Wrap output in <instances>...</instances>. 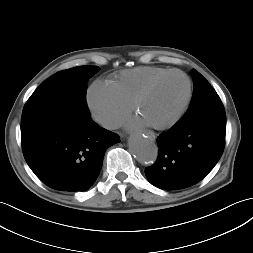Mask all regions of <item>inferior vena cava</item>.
<instances>
[{
	"instance_id": "obj_1",
	"label": "inferior vena cava",
	"mask_w": 253,
	"mask_h": 253,
	"mask_svg": "<svg viewBox=\"0 0 253 253\" xmlns=\"http://www.w3.org/2000/svg\"><path fill=\"white\" fill-rule=\"evenodd\" d=\"M100 123L109 129H113L117 127V124L109 117H104L100 120Z\"/></svg>"
}]
</instances>
